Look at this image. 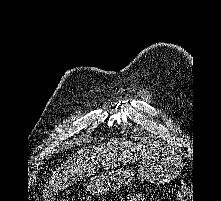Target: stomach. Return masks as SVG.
Instances as JSON below:
<instances>
[{
    "mask_svg": "<svg viewBox=\"0 0 221 201\" xmlns=\"http://www.w3.org/2000/svg\"><path fill=\"white\" fill-rule=\"evenodd\" d=\"M181 157L167 150H157L142 158L140 161V176L153 184H163L177 177L182 169ZM134 171L128 167L112 170L95 175L86 184L92 195L119 190L129 184L134 178Z\"/></svg>",
    "mask_w": 221,
    "mask_h": 201,
    "instance_id": "0dacf381",
    "label": "stomach"
}]
</instances>
